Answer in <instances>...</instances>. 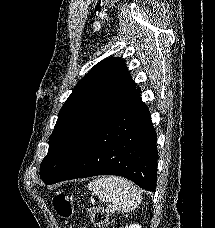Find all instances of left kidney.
I'll list each match as a JSON object with an SVG mask.
<instances>
[{
	"mask_svg": "<svg viewBox=\"0 0 215 228\" xmlns=\"http://www.w3.org/2000/svg\"><path fill=\"white\" fill-rule=\"evenodd\" d=\"M126 228H142L139 224H131V226H126Z\"/></svg>",
	"mask_w": 215,
	"mask_h": 228,
	"instance_id": "left-kidney-1",
	"label": "left kidney"
}]
</instances>
